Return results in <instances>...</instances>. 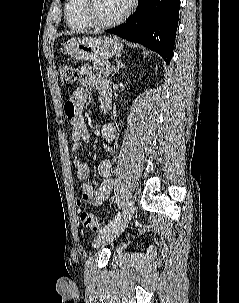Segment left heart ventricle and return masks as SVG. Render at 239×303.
I'll list each match as a JSON object with an SVG mask.
<instances>
[{"label": "left heart ventricle", "mask_w": 239, "mask_h": 303, "mask_svg": "<svg viewBox=\"0 0 239 303\" xmlns=\"http://www.w3.org/2000/svg\"><path fill=\"white\" fill-rule=\"evenodd\" d=\"M127 5V0H95L93 15L98 21H111L120 16Z\"/></svg>", "instance_id": "b2bd125f"}]
</instances>
